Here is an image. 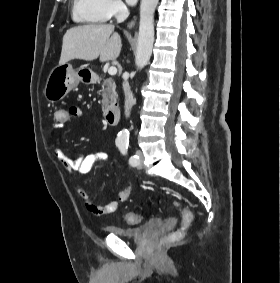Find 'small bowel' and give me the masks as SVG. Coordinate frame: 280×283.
Segmentation results:
<instances>
[{
    "label": "small bowel",
    "instance_id": "small-bowel-1",
    "mask_svg": "<svg viewBox=\"0 0 280 283\" xmlns=\"http://www.w3.org/2000/svg\"><path fill=\"white\" fill-rule=\"evenodd\" d=\"M68 114H72L73 118L76 120H82L84 115L80 108L70 107L68 108ZM64 125H60L56 122L55 128L61 129ZM48 148L51 153L56 157L61 166L72 175H85L90 172V170L99 162L105 159L104 154L95 153L87 155H77L75 158H70L65 155L59 146L53 142L48 141ZM79 195L84 200V206L88 212L96 216H105L113 213L119 206L121 202L128 200L132 194L133 187L131 185L125 187L117 196L115 200H112L106 204L98 205L94 203L89 194L80 186L77 187Z\"/></svg>",
    "mask_w": 280,
    "mask_h": 283
}]
</instances>
